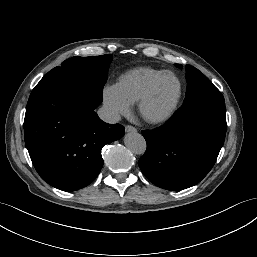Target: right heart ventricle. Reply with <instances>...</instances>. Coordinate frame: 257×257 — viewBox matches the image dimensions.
I'll list each match as a JSON object with an SVG mask.
<instances>
[{
  "label": "right heart ventricle",
  "mask_w": 257,
  "mask_h": 257,
  "mask_svg": "<svg viewBox=\"0 0 257 257\" xmlns=\"http://www.w3.org/2000/svg\"><path fill=\"white\" fill-rule=\"evenodd\" d=\"M166 70L151 67L131 69L119 76L114 89L130 105H135L150 85V83Z\"/></svg>",
  "instance_id": "right-heart-ventricle-1"
}]
</instances>
